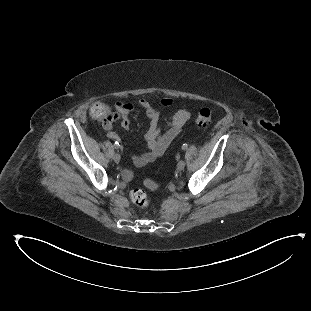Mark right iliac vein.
Here are the masks:
<instances>
[{"label": "right iliac vein", "mask_w": 311, "mask_h": 311, "mask_svg": "<svg viewBox=\"0 0 311 311\" xmlns=\"http://www.w3.org/2000/svg\"><path fill=\"white\" fill-rule=\"evenodd\" d=\"M113 159H114V161H115L116 163H119L121 158H120V155L116 153V154L113 156Z\"/></svg>", "instance_id": "right-iliac-vein-1"}]
</instances>
